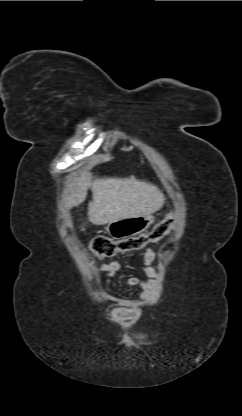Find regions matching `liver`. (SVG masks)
<instances>
[{"instance_id":"1","label":"liver","mask_w":242,"mask_h":416,"mask_svg":"<svg viewBox=\"0 0 242 416\" xmlns=\"http://www.w3.org/2000/svg\"><path fill=\"white\" fill-rule=\"evenodd\" d=\"M91 188L93 200L88 206V219L94 225H105L128 217L151 215L163 207L165 197L157 186L128 178H94L85 172L64 190L62 204L78 206Z\"/></svg>"}]
</instances>
